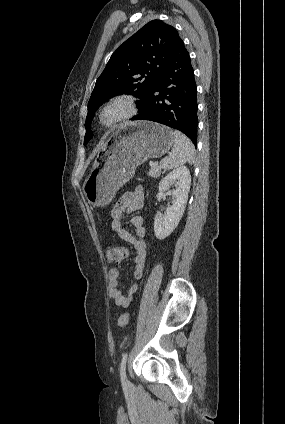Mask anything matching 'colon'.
I'll return each mask as SVG.
<instances>
[{"label":"colon","mask_w":285,"mask_h":424,"mask_svg":"<svg viewBox=\"0 0 285 424\" xmlns=\"http://www.w3.org/2000/svg\"><path fill=\"white\" fill-rule=\"evenodd\" d=\"M104 255L108 262L110 263H118L122 259H124V250L122 247L109 245L104 248ZM129 322V315L127 313H123L119 316L118 325L120 327H126Z\"/></svg>","instance_id":"obj_1"}]
</instances>
